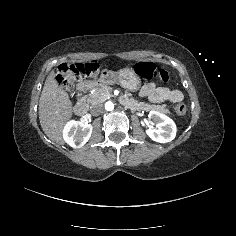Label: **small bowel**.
I'll return each mask as SVG.
<instances>
[{
  "instance_id": "1",
  "label": "small bowel",
  "mask_w": 236,
  "mask_h": 236,
  "mask_svg": "<svg viewBox=\"0 0 236 236\" xmlns=\"http://www.w3.org/2000/svg\"><path fill=\"white\" fill-rule=\"evenodd\" d=\"M140 94L148 97L153 103L161 101L180 102L183 100L184 95L179 90H170L168 88L157 87L155 83H148L141 89Z\"/></svg>"
}]
</instances>
